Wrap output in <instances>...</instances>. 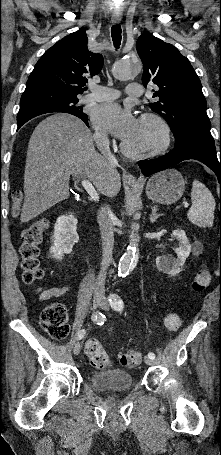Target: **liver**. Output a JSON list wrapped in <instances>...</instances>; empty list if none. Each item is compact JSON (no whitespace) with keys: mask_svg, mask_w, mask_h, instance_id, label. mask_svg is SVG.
Returning <instances> with one entry per match:
<instances>
[{"mask_svg":"<svg viewBox=\"0 0 221 455\" xmlns=\"http://www.w3.org/2000/svg\"><path fill=\"white\" fill-rule=\"evenodd\" d=\"M116 167L95 150L92 133L82 120L66 113L45 118L28 144L21 222L68 199L71 175L89 179L105 196H117L121 178Z\"/></svg>","mask_w":221,"mask_h":455,"instance_id":"6515ba94","label":"liver"}]
</instances>
